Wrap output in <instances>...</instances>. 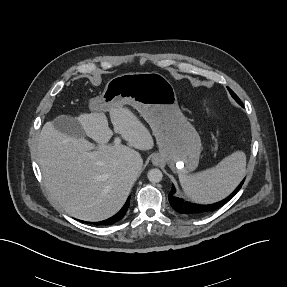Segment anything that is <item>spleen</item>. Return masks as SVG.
Wrapping results in <instances>:
<instances>
[{
	"mask_svg": "<svg viewBox=\"0 0 287 287\" xmlns=\"http://www.w3.org/2000/svg\"><path fill=\"white\" fill-rule=\"evenodd\" d=\"M246 173V155L237 151L225 157L215 167L193 175H179L185 194L193 201L210 204L227 197Z\"/></svg>",
	"mask_w": 287,
	"mask_h": 287,
	"instance_id": "3e777b00",
	"label": "spleen"
}]
</instances>
